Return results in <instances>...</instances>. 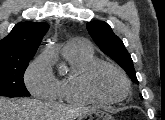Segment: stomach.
<instances>
[{"label":"stomach","instance_id":"0dacf381","mask_svg":"<svg viewBox=\"0 0 165 120\" xmlns=\"http://www.w3.org/2000/svg\"><path fill=\"white\" fill-rule=\"evenodd\" d=\"M89 118V120H92L93 118H98V119H102V120H114V118L112 117V115L105 113L103 111H89L87 113L84 114L83 117H80L79 120H82V118Z\"/></svg>","mask_w":165,"mask_h":120}]
</instances>
